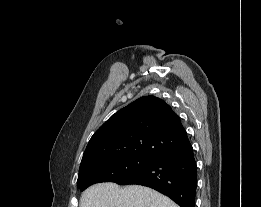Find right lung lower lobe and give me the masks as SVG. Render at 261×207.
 Returning <instances> with one entry per match:
<instances>
[{
  "label": "right lung lower lobe",
  "instance_id": "98d812e1",
  "mask_svg": "<svg viewBox=\"0 0 261 207\" xmlns=\"http://www.w3.org/2000/svg\"><path fill=\"white\" fill-rule=\"evenodd\" d=\"M118 184L147 186L170 197L180 207H195L197 165L191 144L158 157L152 165Z\"/></svg>",
  "mask_w": 261,
  "mask_h": 207
}]
</instances>
